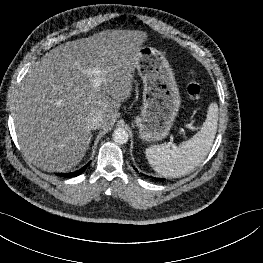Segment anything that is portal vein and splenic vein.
Masks as SVG:
<instances>
[{
  "mask_svg": "<svg viewBox=\"0 0 263 263\" xmlns=\"http://www.w3.org/2000/svg\"><path fill=\"white\" fill-rule=\"evenodd\" d=\"M87 74L93 75L95 77L94 82H93V87L94 88H98L101 85L102 81L104 80L102 78V72L98 68H94V69L88 70ZM169 145L172 146V147H176L175 143H173V140H171L169 142Z\"/></svg>",
  "mask_w": 263,
  "mask_h": 263,
  "instance_id": "18ae733b",
  "label": "portal vein and splenic vein"
}]
</instances>
